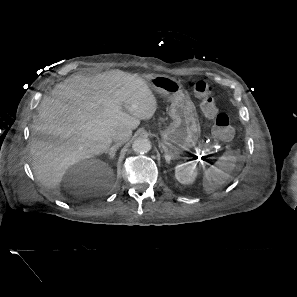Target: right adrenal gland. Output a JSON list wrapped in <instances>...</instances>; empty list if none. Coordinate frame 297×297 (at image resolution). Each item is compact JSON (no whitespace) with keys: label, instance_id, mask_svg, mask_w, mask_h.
Listing matches in <instances>:
<instances>
[{"label":"right adrenal gland","instance_id":"obj_1","mask_svg":"<svg viewBox=\"0 0 297 297\" xmlns=\"http://www.w3.org/2000/svg\"><path fill=\"white\" fill-rule=\"evenodd\" d=\"M119 147V144H114L113 146H111V148H109L108 150H106L105 153H108L109 154V158H114L115 157V153L117 151Z\"/></svg>","mask_w":297,"mask_h":297}]
</instances>
